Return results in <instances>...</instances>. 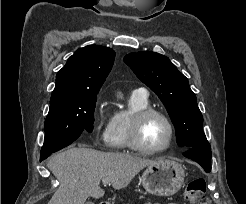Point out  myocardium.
<instances>
[{
	"mask_svg": "<svg viewBox=\"0 0 246 204\" xmlns=\"http://www.w3.org/2000/svg\"><path fill=\"white\" fill-rule=\"evenodd\" d=\"M151 116L161 117L165 121L169 129V137L165 145L159 148H154V149L146 147L141 141L142 127L145 121ZM174 138H175L174 124L169 118V116L165 114L164 112L158 109H155V108L148 107L146 109L136 112L132 116V119L130 122V128H129V137H128L129 146L132 149L138 152L144 153V154H151V155L162 153L170 148V146L172 145L174 141Z\"/></svg>",
	"mask_w": 246,
	"mask_h": 204,
	"instance_id": "obj_1",
	"label": "myocardium"
}]
</instances>
